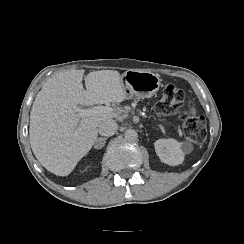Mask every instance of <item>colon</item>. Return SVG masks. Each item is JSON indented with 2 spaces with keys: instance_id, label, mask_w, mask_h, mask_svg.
Returning <instances> with one entry per match:
<instances>
[{
  "instance_id": "colon-1",
  "label": "colon",
  "mask_w": 244,
  "mask_h": 244,
  "mask_svg": "<svg viewBox=\"0 0 244 244\" xmlns=\"http://www.w3.org/2000/svg\"><path fill=\"white\" fill-rule=\"evenodd\" d=\"M160 116H175L185 122L184 130L193 143H202L207 136L205 118L194 101L185 98L184 91L174 83H168L156 106Z\"/></svg>"
}]
</instances>
